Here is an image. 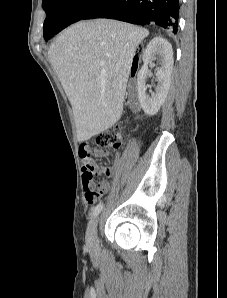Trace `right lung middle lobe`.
Wrapping results in <instances>:
<instances>
[{"mask_svg":"<svg viewBox=\"0 0 227 298\" xmlns=\"http://www.w3.org/2000/svg\"><path fill=\"white\" fill-rule=\"evenodd\" d=\"M101 0H43L46 12L44 38L49 40L67 26L81 20Z\"/></svg>","mask_w":227,"mask_h":298,"instance_id":"right-lung-middle-lobe-1","label":"right lung middle lobe"}]
</instances>
